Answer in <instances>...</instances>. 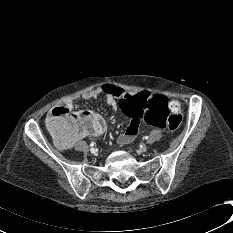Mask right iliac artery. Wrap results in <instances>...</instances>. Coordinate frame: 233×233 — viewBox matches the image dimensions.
Wrapping results in <instances>:
<instances>
[{
	"instance_id": "1",
	"label": "right iliac artery",
	"mask_w": 233,
	"mask_h": 233,
	"mask_svg": "<svg viewBox=\"0 0 233 233\" xmlns=\"http://www.w3.org/2000/svg\"><path fill=\"white\" fill-rule=\"evenodd\" d=\"M94 145H95L94 142H92V143L90 144L91 147H93ZM91 149H94V148H91Z\"/></svg>"
}]
</instances>
